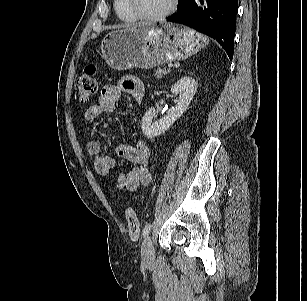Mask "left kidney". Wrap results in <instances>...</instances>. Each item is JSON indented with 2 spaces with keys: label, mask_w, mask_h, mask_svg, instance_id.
<instances>
[{
  "label": "left kidney",
  "mask_w": 307,
  "mask_h": 301,
  "mask_svg": "<svg viewBox=\"0 0 307 301\" xmlns=\"http://www.w3.org/2000/svg\"><path fill=\"white\" fill-rule=\"evenodd\" d=\"M196 91L197 82L195 79L190 76H184L179 79L171 87L172 93L179 94V97L175 99V107L172 108L169 114L157 121H153V118H155L157 113L156 110L154 108H149L142 118L141 128L143 134L148 139H153L154 137L159 136L168 130L171 125L187 110Z\"/></svg>",
  "instance_id": "left-kidney-1"
}]
</instances>
